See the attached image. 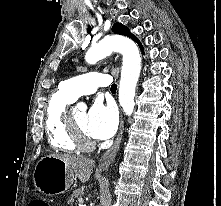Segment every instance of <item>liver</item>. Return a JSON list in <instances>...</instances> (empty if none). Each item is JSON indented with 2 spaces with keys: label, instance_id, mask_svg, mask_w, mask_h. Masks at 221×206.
Masks as SVG:
<instances>
[{
  "label": "liver",
  "instance_id": "1",
  "mask_svg": "<svg viewBox=\"0 0 221 206\" xmlns=\"http://www.w3.org/2000/svg\"><path fill=\"white\" fill-rule=\"evenodd\" d=\"M50 156L63 160L75 178H78L81 182L89 180L92 169L95 166L94 160L85 157L58 154Z\"/></svg>",
  "mask_w": 221,
  "mask_h": 206
}]
</instances>
